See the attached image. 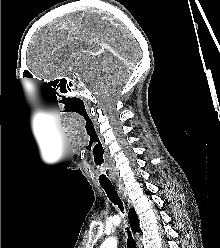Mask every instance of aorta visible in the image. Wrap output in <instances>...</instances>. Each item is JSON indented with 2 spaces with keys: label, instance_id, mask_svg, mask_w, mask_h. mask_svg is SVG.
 <instances>
[{
  "label": "aorta",
  "instance_id": "obj_1",
  "mask_svg": "<svg viewBox=\"0 0 220 248\" xmlns=\"http://www.w3.org/2000/svg\"><path fill=\"white\" fill-rule=\"evenodd\" d=\"M100 248H117V240L114 237L107 238Z\"/></svg>",
  "mask_w": 220,
  "mask_h": 248
}]
</instances>
